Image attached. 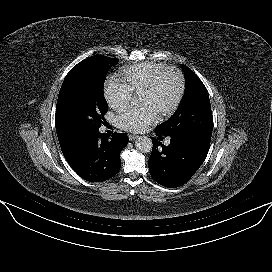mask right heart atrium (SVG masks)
I'll return each instance as SVG.
<instances>
[{
    "label": "right heart atrium",
    "mask_w": 272,
    "mask_h": 272,
    "mask_svg": "<svg viewBox=\"0 0 272 272\" xmlns=\"http://www.w3.org/2000/svg\"><path fill=\"white\" fill-rule=\"evenodd\" d=\"M104 97L111 108L120 110L130 103L133 91L126 83L111 77L105 82Z\"/></svg>",
    "instance_id": "d8ad5b80"
}]
</instances>
